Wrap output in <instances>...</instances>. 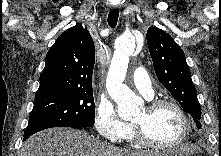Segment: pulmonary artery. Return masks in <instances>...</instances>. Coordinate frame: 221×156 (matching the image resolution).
I'll return each mask as SVG.
<instances>
[{"instance_id": "1", "label": "pulmonary artery", "mask_w": 221, "mask_h": 156, "mask_svg": "<svg viewBox=\"0 0 221 156\" xmlns=\"http://www.w3.org/2000/svg\"><path fill=\"white\" fill-rule=\"evenodd\" d=\"M132 82L135 88L146 98L151 99L154 95L151 80L148 73L142 67H138L132 76Z\"/></svg>"}]
</instances>
